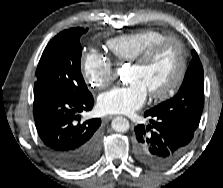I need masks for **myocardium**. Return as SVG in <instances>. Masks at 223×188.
<instances>
[{"instance_id":"f54148a6","label":"myocardium","mask_w":223,"mask_h":188,"mask_svg":"<svg viewBox=\"0 0 223 188\" xmlns=\"http://www.w3.org/2000/svg\"><path fill=\"white\" fill-rule=\"evenodd\" d=\"M168 45H175L178 49V70L174 79L166 88L149 93L152 99H164L170 97L171 95L176 93V91L182 85L188 69L187 52L183 42L175 37H166L148 47L141 55L131 61L132 66L145 67L158 55L160 51H162Z\"/></svg>"}]
</instances>
